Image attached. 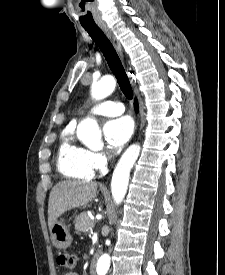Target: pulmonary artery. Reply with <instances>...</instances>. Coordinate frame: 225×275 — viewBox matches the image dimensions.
I'll return each mask as SVG.
<instances>
[{"label":"pulmonary artery","mask_w":225,"mask_h":275,"mask_svg":"<svg viewBox=\"0 0 225 275\" xmlns=\"http://www.w3.org/2000/svg\"><path fill=\"white\" fill-rule=\"evenodd\" d=\"M125 111L124 105L120 102L104 101L101 102L87 112L89 115L117 116Z\"/></svg>","instance_id":"e3ab8cb5"}]
</instances>
